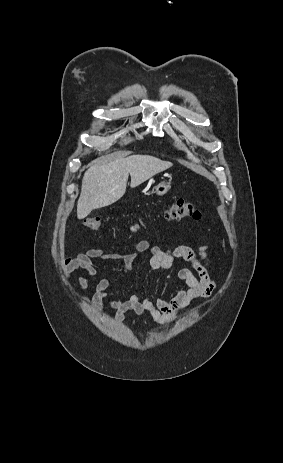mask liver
<instances>
[{"label":"liver","instance_id":"1","mask_svg":"<svg viewBox=\"0 0 283 463\" xmlns=\"http://www.w3.org/2000/svg\"><path fill=\"white\" fill-rule=\"evenodd\" d=\"M172 163L149 155H131L106 163H95L84 173L77 202V217L84 219L96 208L118 201L126 191L129 174L131 188L142 184Z\"/></svg>","mask_w":283,"mask_h":463}]
</instances>
